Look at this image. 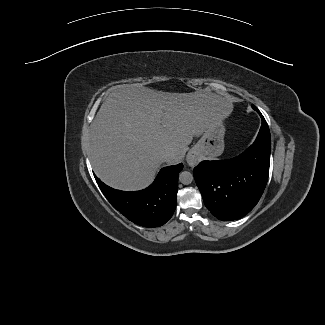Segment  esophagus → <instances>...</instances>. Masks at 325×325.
<instances>
[{
    "label": "esophagus",
    "mask_w": 325,
    "mask_h": 325,
    "mask_svg": "<svg viewBox=\"0 0 325 325\" xmlns=\"http://www.w3.org/2000/svg\"><path fill=\"white\" fill-rule=\"evenodd\" d=\"M186 161L190 166H194L197 163V158L193 153H188Z\"/></svg>",
    "instance_id": "1"
}]
</instances>
